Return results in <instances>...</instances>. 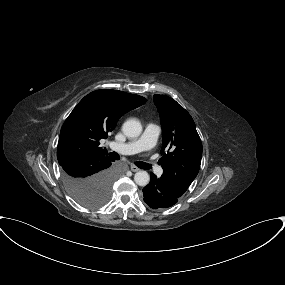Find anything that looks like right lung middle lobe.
I'll return each mask as SVG.
<instances>
[{"label":"right lung middle lobe","mask_w":285,"mask_h":285,"mask_svg":"<svg viewBox=\"0 0 285 285\" xmlns=\"http://www.w3.org/2000/svg\"><path fill=\"white\" fill-rule=\"evenodd\" d=\"M65 186L70 195L85 207H99L104 205L111 195V182L84 181L80 179H66L63 176Z\"/></svg>","instance_id":"right-lung-middle-lobe-1"}]
</instances>
